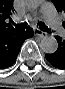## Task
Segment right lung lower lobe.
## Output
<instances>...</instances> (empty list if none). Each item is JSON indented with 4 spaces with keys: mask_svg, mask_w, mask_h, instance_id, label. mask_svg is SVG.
Listing matches in <instances>:
<instances>
[{
    "mask_svg": "<svg viewBox=\"0 0 65 89\" xmlns=\"http://www.w3.org/2000/svg\"><path fill=\"white\" fill-rule=\"evenodd\" d=\"M33 36V30L11 29L0 32V69L10 67L16 60L24 41Z\"/></svg>",
    "mask_w": 65,
    "mask_h": 89,
    "instance_id": "obj_1",
    "label": "right lung lower lobe"
}]
</instances>
